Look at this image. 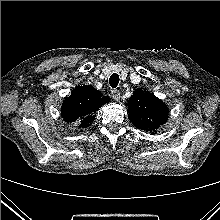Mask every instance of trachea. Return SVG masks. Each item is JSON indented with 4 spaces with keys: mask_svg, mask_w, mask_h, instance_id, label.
I'll use <instances>...</instances> for the list:
<instances>
[{
    "mask_svg": "<svg viewBox=\"0 0 220 220\" xmlns=\"http://www.w3.org/2000/svg\"><path fill=\"white\" fill-rule=\"evenodd\" d=\"M119 76L116 73H113L109 78V84L112 88H116L119 83Z\"/></svg>",
    "mask_w": 220,
    "mask_h": 220,
    "instance_id": "1",
    "label": "trachea"
}]
</instances>
